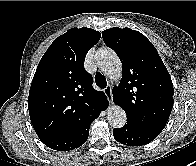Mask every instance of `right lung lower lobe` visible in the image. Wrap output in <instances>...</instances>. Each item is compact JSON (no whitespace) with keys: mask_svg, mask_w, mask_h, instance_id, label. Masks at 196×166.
<instances>
[{"mask_svg":"<svg viewBox=\"0 0 196 166\" xmlns=\"http://www.w3.org/2000/svg\"><path fill=\"white\" fill-rule=\"evenodd\" d=\"M108 106V101H103L99 106L94 110L92 115V122L95 118L100 115L102 110H105ZM91 122V123H92ZM90 127V126H89ZM89 127L79 135L75 136H65V135H55V136H47L42 137L40 140L49 148L58 150V151H69L75 148H78L82 144H84L89 135Z\"/></svg>","mask_w":196,"mask_h":166,"instance_id":"right-lung-lower-lobe-1","label":"right lung lower lobe"}]
</instances>
